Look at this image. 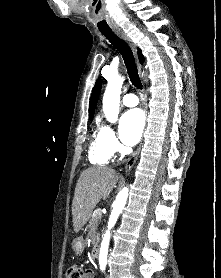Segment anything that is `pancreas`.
Returning a JSON list of instances; mask_svg holds the SVG:
<instances>
[{"label":"pancreas","mask_w":221,"mask_h":278,"mask_svg":"<svg viewBox=\"0 0 221 278\" xmlns=\"http://www.w3.org/2000/svg\"><path fill=\"white\" fill-rule=\"evenodd\" d=\"M101 215H98L96 213V211L93 213V215L91 216V219H90V223H89V226L90 227H95L96 226V223L97 221L99 220Z\"/></svg>","instance_id":"pancreas-1"}]
</instances>
